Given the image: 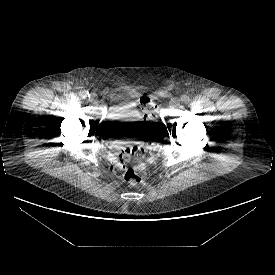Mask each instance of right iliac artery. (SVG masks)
Segmentation results:
<instances>
[{
	"label": "right iliac artery",
	"instance_id": "82829eb1",
	"mask_svg": "<svg viewBox=\"0 0 275 275\" xmlns=\"http://www.w3.org/2000/svg\"><path fill=\"white\" fill-rule=\"evenodd\" d=\"M80 95L83 99H86L87 97H89V92L88 91H82Z\"/></svg>",
	"mask_w": 275,
	"mask_h": 275
}]
</instances>
